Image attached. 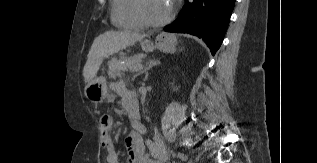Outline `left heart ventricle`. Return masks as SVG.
<instances>
[{"label":"left heart ventricle","instance_id":"left-heart-ventricle-1","mask_svg":"<svg viewBox=\"0 0 317 163\" xmlns=\"http://www.w3.org/2000/svg\"><path fill=\"white\" fill-rule=\"evenodd\" d=\"M172 0H145L144 6L147 16L153 21L163 20L172 9Z\"/></svg>","mask_w":317,"mask_h":163}]
</instances>
